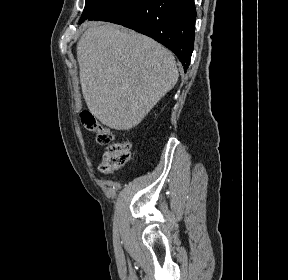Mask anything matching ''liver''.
<instances>
[{"label":"liver","mask_w":288,"mask_h":280,"mask_svg":"<svg viewBox=\"0 0 288 280\" xmlns=\"http://www.w3.org/2000/svg\"><path fill=\"white\" fill-rule=\"evenodd\" d=\"M77 60L89 111L116 130L137 126L179 76L168 49L110 23L88 27L77 44Z\"/></svg>","instance_id":"6515ba94"}]
</instances>
